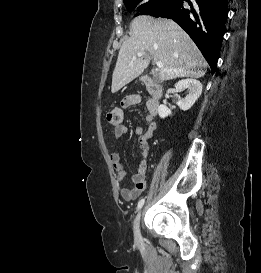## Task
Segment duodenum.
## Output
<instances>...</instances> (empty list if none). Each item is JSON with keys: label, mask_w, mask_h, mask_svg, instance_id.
<instances>
[{"label": "duodenum", "mask_w": 261, "mask_h": 273, "mask_svg": "<svg viewBox=\"0 0 261 273\" xmlns=\"http://www.w3.org/2000/svg\"><path fill=\"white\" fill-rule=\"evenodd\" d=\"M144 84L151 95V104L153 107H157L163 94V88L161 84L155 82L150 77L144 79Z\"/></svg>", "instance_id": "duodenum-1"}]
</instances>
